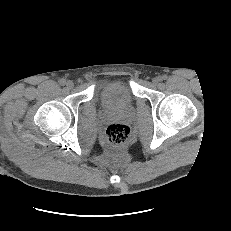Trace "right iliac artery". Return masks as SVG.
I'll return each mask as SVG.
<instances>
[{
	"instance_id": "1",
	"label": "right iliac artery",
	"mask_w": 231,
	"mask_h": 231,
	"mask_svg": "<svg viewBox=\"0 0 231 231\" xmlns=\"http://www.w3.org/2000/svg\"><path fill=\"white\" fill-rule=\"evenodd\" d=\"M59 84L62 85V86H64L66 84L65 79H60Z\"/></svg>"
}]
</instances>
